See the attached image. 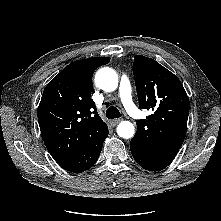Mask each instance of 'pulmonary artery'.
I'll return each mask as SVG.
<instances>
[{
	"instance_id": "pulmonary-artery-1",
	"label": "pulmonary artery",
	"mask_w": 221,
	"mask_h": 221,
	"mask_svg": "<svg viewBox=\"0 0 221 221\" xmlns=\"http://www.w3.org/2000/svg\"><path fill=\"white\" fill-rule=\"evenodd\" d=\"M119 94L122 104L128 114L134 119H141L143 117L142 112L137 108L132 99L131 85L126 76H122L119 84Z\"/></svg>"
}]
</instances>
